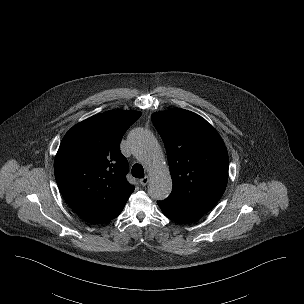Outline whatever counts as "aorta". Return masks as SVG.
<instances>
[{"label":"aorta","instance_id":"1","mask_svg":"<svg viewBox=\"0 0 304 304\" xmlns=\"http://www.w3.org/2000/svg\"><path fill=\"white\" fill-rule=\"evenodd\" d=\"M129 141L133 154L150 174V197L155 200L167 198L172 191V179L155 137L147 130L136 129Z\"/></svg>","mask_w":304,"mask_h":304}]
</instances>
